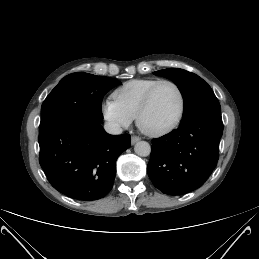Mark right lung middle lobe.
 I'll return each instance as SVG.
<instances>
[{"label": "right lung middle lobe", "mask_w": 259, "mask_h": 259, "mask_svg": "<svg viewBox=\"0 0 259 259\" xmlns=\"http://www.w3.org/2000/svg\"><path fill=\"white\" fill-rule=\"evenodd\" d=\"M120 83L113 78L82 72L67 75L43 102L40 128L64 119L101 122L103 96Z\"/></svg>", "instance_id": "obj_1"}]
</instances>
